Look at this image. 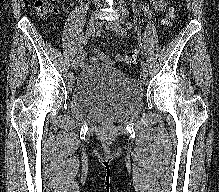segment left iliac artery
I'll list each match as a JSON object with an SVG mask.
<instances>
[{
	"label": "left iliac artery",
	"mask_w": 219,
	"mask_h": 192,
	"mask_svg": "<svg viewBox=\"0 0 219 192\" xmlns=\"http://www.w3.org/2000/svg\"><path fill=\"white\" fill-rule=\"evenodd\" d=\"M121 34L126 36L127 35V32L126 30L122 27L121 28ZM141 66H145L146 67V63L144 61L141 62Z\"/></svg>",
	"instance_id": "obj_1"
}]
</instances>
